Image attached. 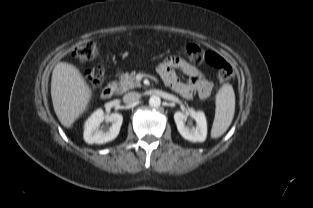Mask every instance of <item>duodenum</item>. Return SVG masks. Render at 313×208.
<instances>
[{"mask_svg":"<svg viewBox=\"0 0 313 208\" xmlns=\"http://www.w3.org/2000/svg\"><path fill=\"white\" fill-rule=\"evenodd\" d=\"M115 90H116L115 84H108L102 89L101 97L103 99H109L114 94Z\"/></svg>","mask_w":313,"mask_h":208,"instance_id":"1","label":"duodenum"}]
</instances>
